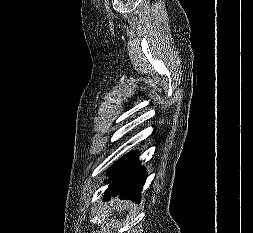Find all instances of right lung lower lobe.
Segmentation results:
<instances>
[{
    "instance_id": "1",
    "label": "right lung lower lobe",
    "mask_w": 253,
    "mask_h": 233,
    "mask_svg": "<svg viewBox=\"0 0 253 233\" xmlns=\"http://www.w3.org/2000/svg\"><path fill=\"white\" fill-rule=\"evenodd\" d=\"M138 155V152H130L109 170V181L112 183L106 190L105 200L119 195L121 199L140 201V192L146 179V172L139 162L135 161Z\"/></svg>"
}]
</instances>
